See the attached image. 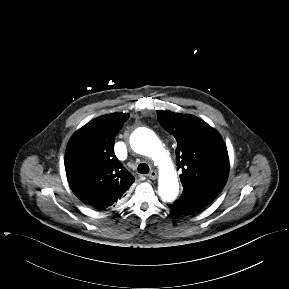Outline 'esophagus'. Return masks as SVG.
Instances as JSON below:
<instances>
[{
	"label": "esophagus",
	"instance_id": "esophagus-1",
	"mask_svg": "<svg viewBox=\"0 0 289 289\" xmlns=\"http://www.w3.org/2000/svg\"><path fill=\"white\" fill-rule=\"evenodd\" d=\"M147 177L151 180H155L157 178V172L156 171H151Z\"/></svg>",
	"mask_w": 289,
	"mask_h": 289
}]
</instances>
